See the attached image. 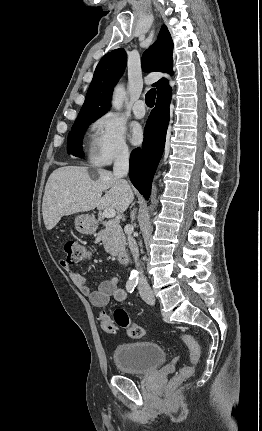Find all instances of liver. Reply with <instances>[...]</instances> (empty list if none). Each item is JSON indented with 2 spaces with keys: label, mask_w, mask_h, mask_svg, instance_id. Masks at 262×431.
Wrapping results in <instances>:
<instances>
[{
  "label": "liver",
  "mask_w": 262,
  "mask_h": 431,
  "mask_svg": "<svg viewBox=\"0 0 262 431\" xmlns=\"http://www.w3.org/2000/svg\"><path fill=\"white\" fill-rule=\"evenodd\" d=\"M133 199L128 183L110 171L97 169V178L94 179L87 167H60L52 172L45 186L42 202L44 224L47 230H51L62 216L95 208H112L123 213Z\"/></svg>",
  "instance_id": "1"
}]
</instances>
